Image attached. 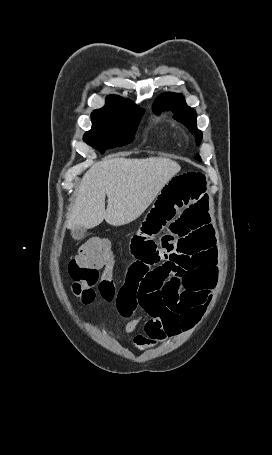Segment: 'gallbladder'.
Segmentation results:
<instances>
[{
    "instance_id": "1",
    "label": "gallbladder",
    "mask_w": 272,
    "mask_h": 455,
    "mask_svg": "<svg viewBox=\"0 0 272 455\" xmlns=\"http://www.w3.org/2000/svg\"><path fill=\"white\" fill-rule=\"evenodd\" d=\"M86 229L84 227H75L72 229L71 234L74 239H81L85 236Z\"/></svg>"
}]
</instances>
